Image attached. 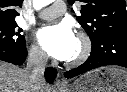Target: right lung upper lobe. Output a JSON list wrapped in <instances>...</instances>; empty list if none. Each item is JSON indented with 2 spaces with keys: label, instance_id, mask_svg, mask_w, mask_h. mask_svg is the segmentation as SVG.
I'll return each instance as SVG.
<instances>
[{
  "label": "right lung upper lobe",
  "instance_id": "obj_1",
  "mask_svg": "<svg viewBox=\"0 0 127 92\" xmlns=\"http://www.w3.org/2000/svg\"><path fill=\"white\" fill-rule=\"evenodd\" d=\"M23 0H0V24L14 23L19 15L15 7L22 6Z\"/></svg>",
  "mask_w": 127,
  "mask_h": 92
}]
</instances>
